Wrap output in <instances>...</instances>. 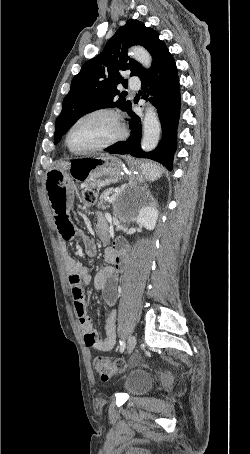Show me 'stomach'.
Masks as SVG:
<instances>
[{"label": "stomach", "mask_w": 250, "mask_h": 454, "mask_svg": "<svg viewBox=\"0 0 250 454\" xmlns=\"http://www.w3.org/2000/svg\"><path fill=\"white\" fill-rule=\"evenodd\" d=\"M123 169L119 158L103 155L74 161L69 166L68 174L59 167L47 172L46 176H76V180L83 182L87 188H97L117 182Z\"/></svg>", "instance_id": "1"}]
</instances>
